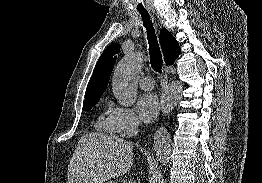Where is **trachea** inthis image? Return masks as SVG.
<instances>
[{
	"label": "trachea",
	"mask_w": 262,
	"mask_h": 183,
	"mask_svg": "<svg viewBox=\"0 0 262 183\" xmlns=\"http://www.w3.org/2000/svg\"><path fill=\"white\" fill-rule=\"evenodd\" d=\"M140 14L142 16L143 24L147 30L151 67L155 72L161 73L162 66H163V59L158 44L157 36L155 33V29L153 27V23L151 22L147 11H140Z\"/></svg>",
	"instance_id": "obj_1"
}]
</instances>
